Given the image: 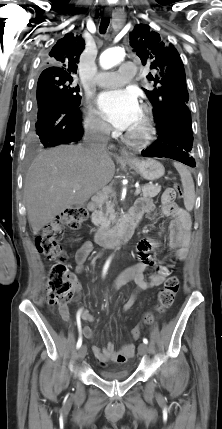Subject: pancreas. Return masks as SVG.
Here are the masks:
<instances>
[{
	"label": "pancreas",
	"mask_w": 222,
	"mask_h": 429,
	"mask_svg": "<svg viewBox=\"0 0 222 429\" xmlns=\"http://www.w3.org/2000/svg\"><path fill=\"white\" fill-rule=\"evenodd\" d=\"M144 198H152L158 195L161 191V186L154 184H146L141 188ZM114 204L105 199V207H102L97 213V226L100 231H108L112 223L115 222Z\"/></svg>",
	"instance_id": "pancreas-1"
}]
</instances>
